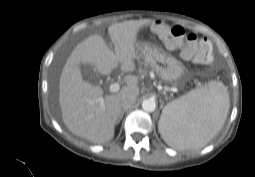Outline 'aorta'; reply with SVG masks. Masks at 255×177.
<instances>
[{"label": "aorta", "instance_id": "obj_1", "mask_svg": "<svg viewBox=\"0 0 255 177\" xmlns=\"http://www.w3.org/2000/svg\"><path fill=\"white\" fill-rule=\"evenodd\" d=\"M142 108L146 112H153L155 110V108H156L155 100H153V99H145L142 102Z\"/></svg>", "mask_w": 255, "mask_h": 177}]
</instances>
